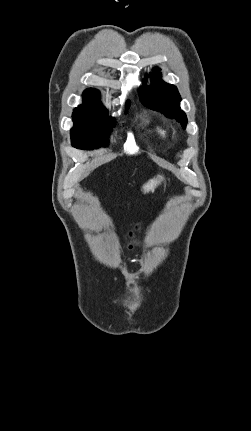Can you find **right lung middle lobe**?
<instances>
[{"label": "right lung middle lobe", "mask_w": 251, "mask_h": 431, "mask_svg": "<svg viewBox=\"0 0 251 431\" xmlns=\"http://www.w3.org/2000/svg\"><path fill=\"white\" fill-rule=\"evenodd\" d=\"M130 102L126 107L129 108ZM74 126L70 130L72 146L79 149H94L108 143V133L114 119L107 118V112L100 97L84 95L83 104L73 111Z\"/></svg>", "instance_id": "right-lung-middle-lobe-1"}]
</instances>
